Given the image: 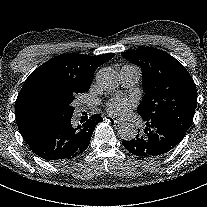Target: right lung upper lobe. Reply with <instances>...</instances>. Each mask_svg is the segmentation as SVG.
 Instances as JSON below:
<instances>
[{"instance_id":"obj_1","label":"right lung upper lobe","mask_w":207,"mask_h":207,"mask_svg":"<svg viewBox=\"0 0 207 207\" xmlns=\"http://www.w3.org/2000/svg\"><path fill=\"white\" fill-rule=\"evenodd\" d=\"M114 55L62 54L35 69L16 99V121L20 133L51 122L37 109L38 101L53 99L72 103L79 93L89 90L95 70Z\"/></svg>"}]
</instances>
